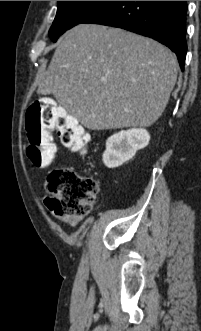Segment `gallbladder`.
I'll return each mask as SVG.
<instances>
[{
	"instance_id": "gallbladder-1",
	"label": "gallbladder",
	"mask_w": 201,
	"mask_h": 331,
	"mask_svg": "<svg viewBox=\"0 0 201 331\" xmlns=\"http://www.w3.org/2000/svg\"><path fill=\"white\" fill-rule=\"evenodd\" d=\"M42 95H47L48 93L46 91L41 92Z\"/></svg>"
}]
</instances>
